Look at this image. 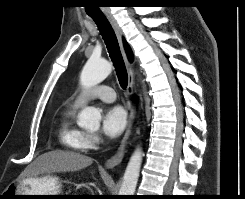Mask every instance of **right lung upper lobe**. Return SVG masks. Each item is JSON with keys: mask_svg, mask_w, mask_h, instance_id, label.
<instances>
[{"mask_svg": "<svg viewBox=\"0 0 245 199\" xmlns=\"http://www.w3.org/2000/svg\"><path fill=\"white\" fill-rule=\"evenodd\" d=\"M124 46H125V50H126V53H127L129 60L132 61L133 60L132 51H131L129 45L127 44V42L125 40H124Z\"/></svg>", "mask_w": 245, "mask_h": 199, "instance_id": "1", "label": "right lung upper lobe"}]
</instances>
